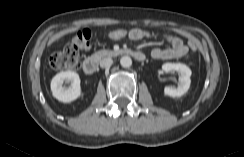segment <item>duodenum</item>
Instances as JSON below:
<instances>
[{
	"instance_id": "duodenum-1",
	"label": "duodenum",
	"mask_w": 244,
	"mask_h": 157,
	"mask_svg": "<svg viewBox=\"0 0 244 157\" xmlns=\"http://www.w3.org/2000/svg\"><path fill=\"white\" fill-rule=\"evenodd\" d=\"M125 54H128L132 56L135 60L137 61H144L145 60V55L142 52L135 51L132 49H127L123 51ZM121 51H114L112 53L113 56L119 55ZM82 68L85 73L87 74H94L98 70V59L94 57H89L84 59L82 63Z\"/></svg>"
}]
</instances>
